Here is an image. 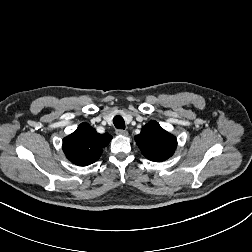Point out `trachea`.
<instances>
[{"label":"trachea","instance_id":"1","mask_svg":"<svg viewBox=\"0 0 252 252\" xmlns=\"http://www.w3.org/2000/svg\"><path fill=\"white\" fill-rule=\"evenodd\" d=\"M113 123L117 129H125V121L121 116H115L113 118Z\"/></svg>","mask_w":252,"mask_h":252}]
</instances>
